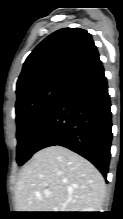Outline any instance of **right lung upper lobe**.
I'll return each mask as SVG.
<instances>
[{
	"label": "right lung upper lobe",
	"mask_w": 123,
	"mask_h": 219,
	"mask_svg": "<svg viewBox=\"0 0 123 219\" xmlns=\"http://www.w3.org/2000/svg\"><path fill=\"white\" fill-rule=\"evenodd\" d=\"M97 60V48L86 30L62 28L45 38L27 57L17 81V100L41 86L67 83Z\"/></svg>",
	"instance_id": "obj_1"
}]
</instances>
